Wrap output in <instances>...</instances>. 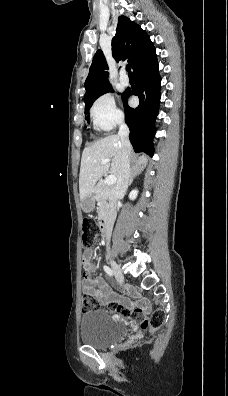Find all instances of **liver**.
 Returning <instances> with one entry per match:
<instances>
[{
  "mask_svg": "<svg viewBox=\"0 0 228 396\" xmlns=\"http://www.w3.org/2000/svg\"><path fill=\"white\" fill-rule=\"evenodd\" d=\"M121 157L122 143L119 135H109L83 150L79 174L80 200L94 192L96 182L107 172L118 179ZM102 159H112V162L101 164ZM146 162L147 156L142 155L136 164L144 165Z\"/></svg>",
  "mask_w": 228,
  "mask_h": 396,
  "instance_id": "1",
  "label": "liver"
}]
</instances>
